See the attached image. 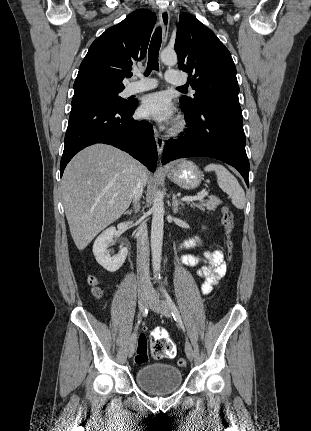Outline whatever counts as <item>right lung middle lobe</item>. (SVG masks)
<instances>
[{
	"label": "right lung middle lobe",
	"mask_w": 311,
	"mask_h": 431,
	"mask_svg": "<svg viewBox=\"0 0 311 431\" xmlns=\"http://www.w3.org/2000/svg\"><path fill=\"white\" fill-rule=\"evenodd\" d=\"M117 92L94 91L74 94L72 99V108L89 104H104L113 107L130 108L136 102L128 101L119 96Z\"/></svg>",
	"instance_id": "obj_1"
}]
</instances>
